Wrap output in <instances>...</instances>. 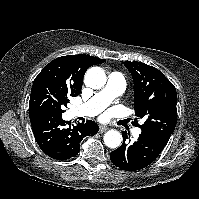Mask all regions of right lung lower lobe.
Instances as JSON below:
<instances>
[{"label":"right lung lower lobe","instance_id":"right-lung-lower-lobe-1","mask_svg":"<svg viewBox=\"0 0 199 199\" xmlns=\"http://www.w3.org/2000/svg\"><path fill=\"white\" fill-rule=\"evenodd\" d=\"M30 113V122L36 142L49 157L66 160L78 154L80 142L85 136L95 135L98 125L88 120L71 126L62 115L49 110H37Z\"/></svg>","mask_w":199,"mask_h":199}]
</instances>
